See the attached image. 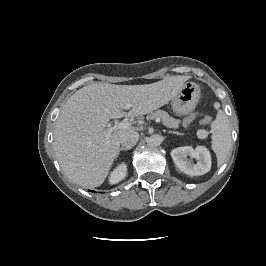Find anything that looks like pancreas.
<instances>
[{"mask_svg":"<svg viewBox=\"0 0 266 266\" xmlns=\"http://www.w3.org/2000/svg\"><path fill=\"white\" fill-rule=\"evenodd\" d=\"M148 118L149 119L159 118L162 120L163 125H165L168 128H173V129H177L179 127V124H180V120L173 118L166 111H163V110H157V111L151 113L148 116Z\"/></svg>","mask_w":266,"mask_h":266,"instance_id":"obj_1","label":"pancreas"}]
</instances>
